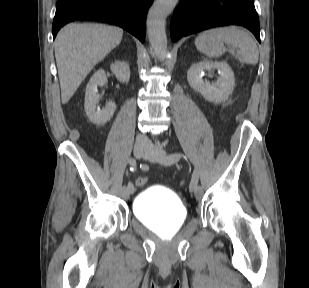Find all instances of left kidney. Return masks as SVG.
<instances>
[{
    "label": "left kidney",
    "mask_w": 309,
    "mask_h": 288,
    "mask_svg": "<svg viewBox=\"0 0 309 288\" xmlns=\"http://www.w3.org/2000/svg\"><path fill=\"white\" fill-rule=\"evenodd\" d=\"M217 69L220 77L210 83L202 79L204 71ZM189 85L207 101L221 103L228 100L235 87L234 73L225 61L203 60L193 64L187 72Z\"/></svg>",
    "instance_id": "left-kidney-1"
}]
</instances>
